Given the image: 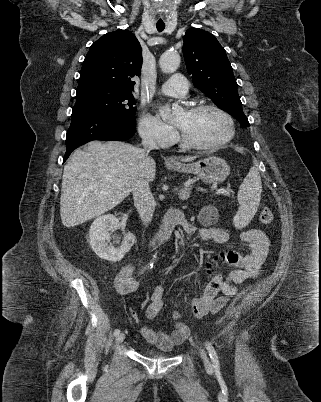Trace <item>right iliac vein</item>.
<instances>
[{
  "mask_svg": "<svg viewBox=\"0 0 321 402\" xmlns=\"http://www.w3.org/2000/svg\"><path fill=\"white\" fill-rule=\"evenodd\" d=\"M125 339V334L124 333H119L116 337V343L120 344L124 341Z\"/></svg>",
  "mask_w": 321,
  "mask_h": 402,
  "instance_id": "right-iliac-vein-1",
  "label": "right iliac vein"
}]
</instances>
